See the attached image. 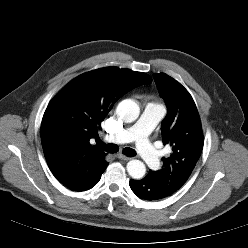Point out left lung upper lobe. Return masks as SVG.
<instances>
[{"label": "left lung upper lobe", "instance_id": "5c2ea615", "mask_svg": "<svg viewBox=\"0 0 248 248\" xmlns=\"http://www.w3.org/2000/svg\"><path fill=\"white\" fill-rule=\"evenodd\" d=\"M154 79L168 108L161 131L163 143L171 145L172 153L162 159L161 170L150 171L149 174L173 194L185 184L196 166L203 148V132L190 93L165 73L154 74Z\"/></svg>", "mask_w": 248, "mask_h": 248}]
</instances>
